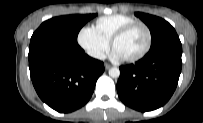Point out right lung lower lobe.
Instances as JSON below:
<instances>
[{"instance_id": "obj_1", "label": "right lung lower lobe", "mask_w": 203, "mask_h": 123, "mask_svg": "<svg viewBox=\"0 0 203 123\" xmlns=\"http://www.w3.org/2000/svg\"><path fill=\"white\" fill-rule=\"evenodd\" d=\"M28 57L38 96L52 109L63 113L85 105L104 72L103 62L89 57L78 44L31 40Z\"/></svg>"}]
</instances>
